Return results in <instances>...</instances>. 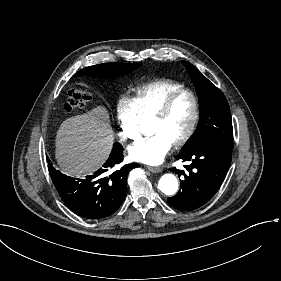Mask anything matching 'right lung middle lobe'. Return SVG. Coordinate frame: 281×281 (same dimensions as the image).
<instances>
[{"instance_id": "obj_1", "label": "right lung middle lobe", "mask_w": 281, "mask_h": 281, "mask_svg": "<svg viewBox=\"0 0 281 281\" xmlns=\"http://www.w3.org/2000/svg\"><path fill=\"white\" fill-rule=\"evenodd\" d=\"M142 63H106L90 67H86L78 71L74 76H92L100 78H113L121 75L129 74L133 70L140 67Z\"/></svg>"}]
</instances>
